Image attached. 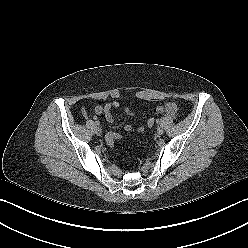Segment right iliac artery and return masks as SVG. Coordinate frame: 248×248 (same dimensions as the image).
Instances as JSON below:
<instances>
[{
    "instance_id": "obj_1",
    "label": "right iliac artery",
    "mask_w": 248,
    "mask_h": 248,
    "mask_svg": "<svg viewBox=\"0 0 248 248\" xmlns=\"http://www.w3.org/2000/svg\"><path fill=\"white\" fill-rule=\"evenodd\" d=\"M95 125H99V122L98 121H95Z\"/></svg>"
}]
</instances>
